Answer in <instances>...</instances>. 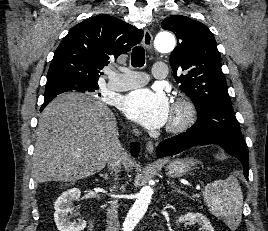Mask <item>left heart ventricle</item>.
Listing matches in <instances>:
<instances>
[{"mask_svg":"<svg viewBox=\"0 0 268 231\" xmlns=\"http://www.w3.org/2000/svg\"><path fill=\"white\" fill-rule=\"evenodd\" d=\"M175 117H176V114L173 111H171L169 121L174 119Z\"/></svg>","mask_w":268,"mask_h":231,"instance_id":"b2bd125f","label":"left heart ventricle"}]
</instances>
